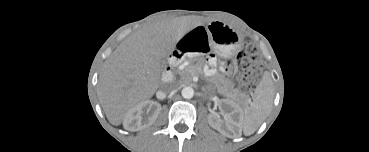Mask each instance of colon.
I'll return each mask as SVG.
<instances>
[{"instance_id": "obj_1", "label": "colon", "mask_w": 369, "mask_h": 152, "mask_svg": "<svg viewBox=\"0 0 369 152\" xmlns=\"http://www.w3.org/2000/svg\"><path fill=\"white\" fill-rule=\"evenodd\" d=\"M215 63L216 61L212 59L211 64ZM236 65L241 69L239 81L242 87L246 90L253 89L260 81L264 70L263 63L253 45L246 44L238 53Z\"/></svg>"}]
</instances>
